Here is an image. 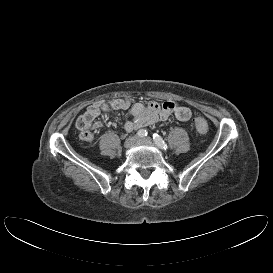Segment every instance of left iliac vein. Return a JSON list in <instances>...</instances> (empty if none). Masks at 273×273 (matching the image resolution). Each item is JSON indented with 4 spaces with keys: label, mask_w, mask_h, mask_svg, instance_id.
<instances>
[{
    "label": "left iliac vein",
    "mask_w": 273,
    "mask_h": 273,
    "mask_svg": "<svg viewBox=\"0 0 273 273\" xmlns=\"http://www.w3.org/2000/svg\"><path fill=\"white\" fill-rule=\"evenodd\" d=\"M137 142H145V143H151L152 140L150 137L140 138L137 140Z\"/></svg>",
    "instance_id": "left-iliac-vein-1"
}]
</instances>
